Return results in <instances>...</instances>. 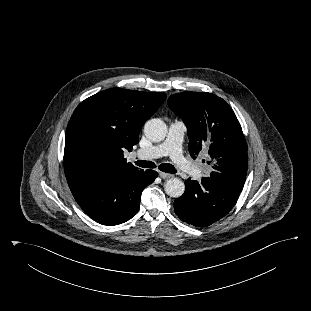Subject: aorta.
<instances>
[{
	"label": "aorta",
	"mask_w": 311,
	"mask_h": 311,
	"mask_svg": "<svg viewBox=\"0 0 311 311\" xmlns=\"http://www.w3.org/2000/svg\"><path fill=\"white\" fill-rule=\"evenodd\" d=\"M144 134L149 140L160 142L166 137L167 126L161 119H150L144 125ZM165 191L170 197L179 198L185 191L184 182L178 178H170L165 183Z\"/></svg>",
	"instance_id": "aorta-1"
}]
</instances>
